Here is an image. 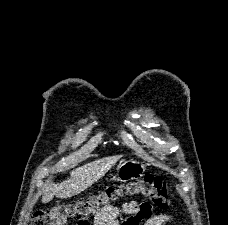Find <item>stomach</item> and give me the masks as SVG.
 <instances>
[{
  "label": "stomach",
  "instance_id": "obj_1",
  "mask_svg": "<svg viewBox=\"0 0 228 225\" xmlns=\"http://www.w3.org/2000/svg\"><path fill=\"white\" fill-rule=\"evenodd\" d=\"M145 173V165L139 161H123L117 167V181L127 183V181H135L139 177H143Z\"/></svg>",
  "mask_w": 228,
  "mask_h": 225
}]
</instances>
